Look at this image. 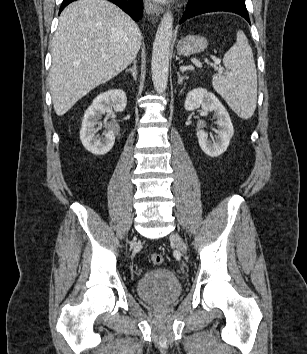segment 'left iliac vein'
Returning a JSON list of instances; mask_svg holds the SVG:
<instances>
[{
	"instance_id": "4c4485c4",
	"label": "left iliac vein",
	"mask_w": 307,
	"mask_h": 354,
	"mask_svg": "<svg viewBox=\"0 0 307 354\" xmlns=\"http://www.w3.org/2000/svg\"><path fill=\"white\" fill-rule=\"evenodd\" d=\"M170 239L175 244L177 249H179L183 254H186L187 247H186L184 241L182 240V238L177 233H173L170 236Z\"/></svg>"
}]
</instances>
